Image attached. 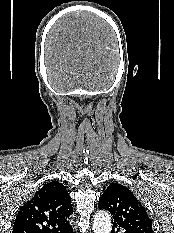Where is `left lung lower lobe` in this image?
Here are the masks:
<instances>
[{
	"label": "left lung lower lobe",
	"instance_id": "left-lung-lower-lobe-1",
	"mask_svg": "<svg viewBox=\"0 0 174 233\" xmlns=\"http://www.w3.org/2000/svg\"><path fill=\"white\" fill-rule=\"evenodd\" d=\"M115 228H116V227H113L112 231H114ZM117 230H119V228H118Z\"/></svg>",
	"mask_w": 174,
	"mask_h": 233
}]
</instances>
